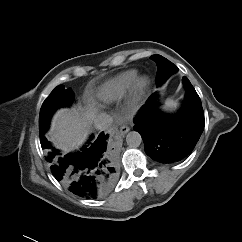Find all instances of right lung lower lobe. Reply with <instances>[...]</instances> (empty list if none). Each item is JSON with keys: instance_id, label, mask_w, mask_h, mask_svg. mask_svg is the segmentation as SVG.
I'll return each instance as SVG.
<instances>
[{"instance_id": "98d812e1", "label": "right lung lower lobe", "mask_w": 242, "mask_h": 242, "mask_svg": "<svg viewBox=\"0 0 242 242\" xmlns=\"http://www.w3.org/2000/svg\"><path fill=\"white\" fill-rule=\"evenodd\" d=\"M107 137L101 132L94 142L88 141L81 151L70 155H62L44 135L40 143L56 180L75 195L97 198L108 192L115 180V167L105 155Z\"/></svg>"}]
</instances>
